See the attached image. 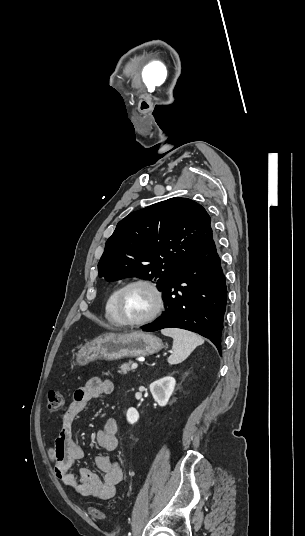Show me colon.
I'll list each match as a JSON object with an SVG mask.
<instances>
[{"label":"colon","mask_w":305,"mask_h":536,"mask_svg":"<svg viewBox=\"0 0 305 536\" xmlns=\"http://www.w3.org/2000/svg\"><path fill=\"white\" fill-rule=\"evenodd\" d=\"M64 404L63 395L61 392L57 390H48L47 392V412L50 415H56L61 410L62 406ZM89 514L91 517L95 519H104L105 513L97 510V509H91L89 511Z\"/></svg>","instance_id":"5ec220e1"}]
</instances>
